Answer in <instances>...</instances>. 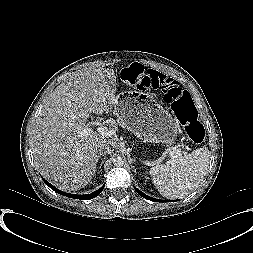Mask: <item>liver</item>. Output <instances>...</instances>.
Wrapping results in <instances>:
<instances>
[{
	"mask_svg": "<svg viewBox=\"0 0 253 253\" xmlns=\"http://www.w3.org/2000/svg\"><path fill=\"white\" fill-rule=\"evenodd\" d=\"M116 76L112 69H81L48 97L32 130L35 167L59 189L76 191L95 175L97 162L113 139L96 131L83 134L91 113L114 110Z\"/></svg>",
	"mask_w": 253,
	"mask_h": 253,
	"instance_id": "1",
	"label": "liver"
}]
</instances>
